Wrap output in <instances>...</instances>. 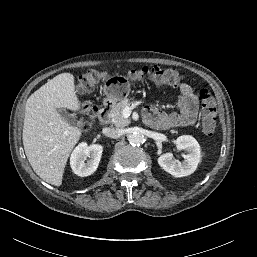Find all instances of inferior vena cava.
Returning a JSON list of instances; mask_svg holds the SVG:
<instances>
[{
	"label": "inferior vena cava",
	"mask_w": 257,
	"mask_h": 257,
	"mask_svg": "<svg viewBox=\"0 0 257 257\" xmlns=\"http://www.w3.org/2000/svg\"><path fill=\"white\" fill-rule=\"evenodd\" d=\"M104 132H105L106 136L113 138V139H117L122 135L121 131L119 129H114V128H105Z\"/></svg>",
	"instance_id": "inferior-vena-cava-1"
}]
</instances>
